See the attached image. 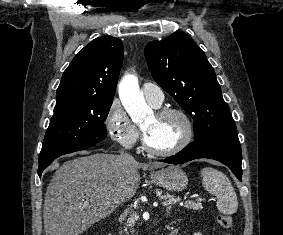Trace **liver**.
I'll return each mask as SVG.
<instances>
[{
  "label": "liver",
  "mask_w": 283,
  "mask_h": 235,
  "mask_svg": "<svg viewBox=\"0 0 283 235\" xmlns=\"http://www.w3.org/2000/svg\"><path fill=\"white\" fill-rule=\"evenodd\" d=\"M163 166L159 162L123 161L105 153L66 161L56 170L45 194V234L80 235L135 195L140 184L138 169Z\"/></svg>",
  "instance_id": "6515ba94"
}]
</instances>
